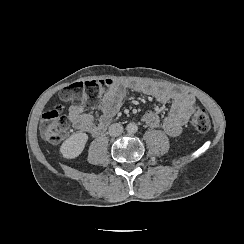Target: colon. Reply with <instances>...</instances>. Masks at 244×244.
I'll return each mask as SVG.
<instances>
[{
  "instance_id": "5ec220e1",
  "label": "colon",
  "mask_w": 244,
  "mask_h": 244,
  "mask_svg": "<svg viewBox=\"0 0 244 244\" xmlns=\"http://www.w3.org/2000/svg\"><path fill=\"white\" fill-rule=\"evenodd\" d=\"M109 79L93 81L89 86L84 82H77L59 89L58 95L61 100L67 101L72 97L75 101H83L88 105H94L100 100V95L104 89L111 85ZM63 104L56 102L50 105L42 114L40 120V134L49 143L60 142L67 133L70 123L62 115ZM192 125L198 132H207L211 127V122L207 111L202 107H195L192 115Z\"/></svg>"
}]
</instances>
